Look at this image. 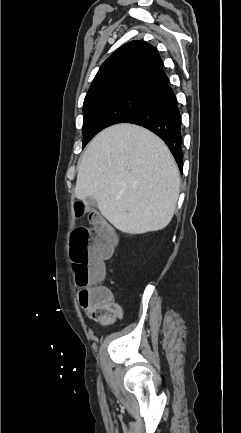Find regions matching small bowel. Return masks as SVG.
I'll use <instances>...</instances> for the list:
<instances>
[{
  "label": "small bowel",
  "instance_id": "obj_1",
  "mask_svg": "<svg viewBox=\"0 0 241 433\" xmlns=\"http://www.w3.org/2000/svg\"><path fill=\"white\" fill-rule=\"evenodd\" d=\"M104 288L108 291L109 296L97 304L89 306L86 312L90 319L106 327L112 325L117 319H122L124 312L123 308L114 300L111 291L105 286Z\"/></svg>",
  "mask_w": 241,
  "mask_h": 433
}]
</instances>
